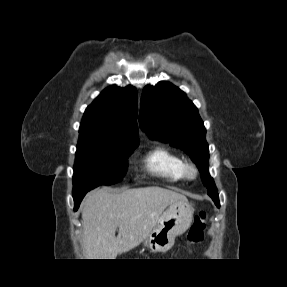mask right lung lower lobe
Returning <instances> with one entry per match:
<instances>
[{"label": "right lung lower lobe", "instance_id": "1", "mask_svg": "<svg viewBox=\"0 0 287 287\" xmlns=\"http://www.w3.org/2000/svg\"><path fill=\"white\" fill-rule=\"evenodd\" d=\"M87 192H88V191L83 192V193H81V194H79V195L73 197V198H74V203H75L74 210H77V209H78V207H79V205H80L82 199L84 198V196H85V194H86Z\"/></svg>", "mask_w": 287, "mask_h": 287}]
</instances>
